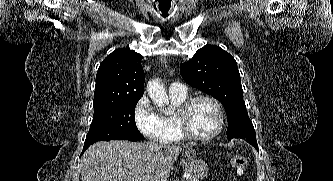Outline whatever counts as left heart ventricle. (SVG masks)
Segmentation results:
<instances>
[{"mask_svg":"<svg viewBox=\"0 0 333 181\" xmlns=\"http://www.w3.org/2000/svg\"><path fill=\"white\" fill-rule=\"evenodd\" d=\"M218 114L208 101L196 102L190 110L188 124L191 131L198 136H207L218 127Z\"/></svg>","mask_w":333,"mask_h":181,"instance_id":"1","label":"left heart ventricle"}]
</instances>
